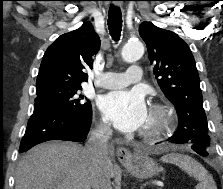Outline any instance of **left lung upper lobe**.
Here are the masks:
<instances>
[{
  "label": "left lung upper lobe",
  "instance_id": "1",
  "mask_svg": "<svg viewBox=\"0 0 223 189\" xmlns=\"http://www.w3.org/2000/svg\"><path fill=\"white\" fill-rule=\"evenodd\" d=\"M139 34L147 45L157 82L177 110L179 127L170 140L208 149V124L199 74L190 48L176 33L151 22H143Z\"/></svg>",
  "mask_w": 223,
  "mask_h": 189
}]
</instances>
